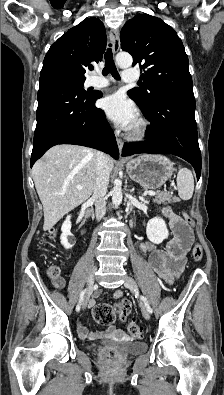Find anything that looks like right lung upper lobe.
I'll use <instances>...</instances> for the list:
<instances>
[{
  "label": "right lung upper lobe",
  "mask_w": 224,
  "mask_h": 395,
  "mask_svg": "<svg viewBox=\"0 0 224 395\" xmlns=\"http://www.w3.org/2000/svg\"><path fill=\"white\" fill-rule=\"evenodd\" d=\"M106 49V32L98 18H88L69 29L47 52L41 74L52 70L85 79L92 62L98 63Z\"/></svg>",
  "instance_id": "cb5924a9"
}]
</instances>
